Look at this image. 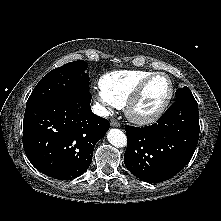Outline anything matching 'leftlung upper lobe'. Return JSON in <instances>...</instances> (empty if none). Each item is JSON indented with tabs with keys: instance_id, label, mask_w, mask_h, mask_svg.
<instances>
[{
	"instance_id": "left-lung-upper-lobe-1",
	"label": "left lung upper lobe",
	"mask_w": 221,
	"mask_h": 221,
	"mask_svg": "<svg viewBox=\"0 0 221 221\" xmlns=\"http://www.w3.org/2000/svg\"><path fill=\"white\" fill-rule=\"evenodd\" d=\"M176 98L177 100H179L183 98H194V97L188 87H183L176 91Z\"/></svg>"
}]
</instances>
